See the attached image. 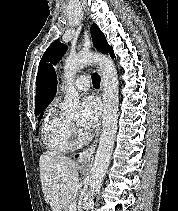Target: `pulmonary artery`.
<instances>
[{"mask_svg": "<svg viewBox=\"0 0 178 211\" xmlns=\"http://www.w3.org/2000/svg\"><path fill=\"white\" fill-rule=\"evenodd\" d=\"M91 84L90 77L88 75H82L74 82V89L77 91H87Z\"/></svg>", "mask_w": 178, "mask_h": 211, "instance_id": "obj_1", "label": "pulmonary artery"}]
</instances>
